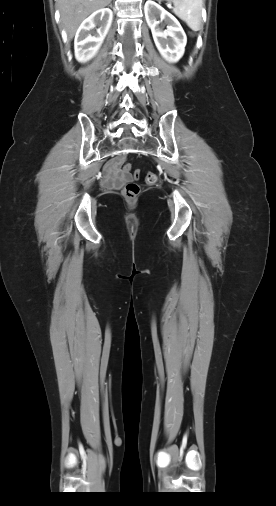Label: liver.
Masks as SVG:
<instances>
[{
    "instance_id": "1",
    "label": "liver",
    "mask_w": 276,
    "mask_h": 506,
    "mask_svg": "<svg viewBox=\"0 0 276 506\" xmlns=\"http://www.w3.org/2000/svg\"><path fill=\"white\" fill-rule=\"evenodd\" d=\"M111 0H58L61 23L72 39L80 23L91 13L106 7Z\"/></svg>"
}]
</instances>
